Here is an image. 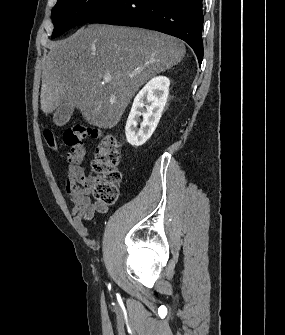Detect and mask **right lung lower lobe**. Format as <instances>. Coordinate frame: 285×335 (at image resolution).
Wrapping results in <instances>:
<instances>
[{
	"instance_id": "obj_1",
	"label": "right lung lower lobe",
	"mask_w": 285,
	"mask_h": 335,
	"mask_svg": "<svg viewBox=\"0 0 285 335\" xmlns=\"http://www.w3.org/2000/svg\"><path fill=\"white\" fill-rule=\"evenodd\" d=\"M202 0H119L88 23H106L150 28L178 37L203 59Z\"/></svg>"
}]
</instances>
